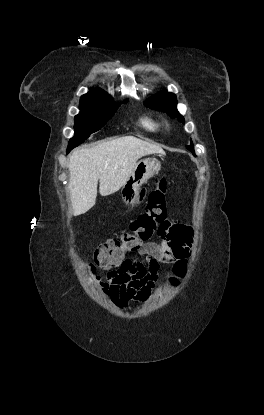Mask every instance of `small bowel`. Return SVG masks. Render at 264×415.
Wrapping results in <instances>:
<instances>
[{
  "label": "small bowel",
  "instance_id": "small-bowel-1",
  "mask_svg": "<svg viewBox=\"0 0 264 415\" xmlns=\"http://www.w3.org/2000/svg\"><path fill=\"white\" fill-rule=\"evenodd\" d=\"M192 241L191 228L175 221L169 234L162 237L161 243H149L140 249L143 259H128L121 268L110 270L106 280L100 282L102 290L114 299L115 293L125 289V300L116 302L121 307L144 302L158 278L160 265L185 261Z\"/></svg>",
  "mask_w": 264,
  "mask_h": 415
}]
</instances>
